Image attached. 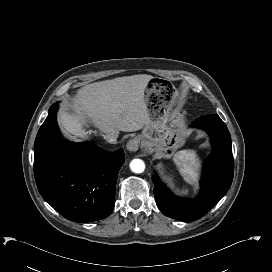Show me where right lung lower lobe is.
Wrapping results in <instances>:
<instances>
[{
	"label": "right lung lower lobe",
	"mask_w": 272,
	"mask_h": 272,
	"mask_svg": "<svg viewBox=\"0 0 272 272\" xmlns=\"http://www.w3.org/2000/svg\"><path fill=\"white\" fill-rule=\"evenodd\" d=\"M54 103L34 144V176L42 197L62 216L91 222L110 215L124 152L105 151L91 142L62 138Z\"/></svg>",
	"instance_id": "98d812e1"
}]
</instances>
